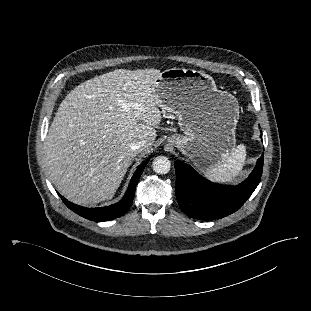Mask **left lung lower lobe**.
Masks as SVG:
<instances>
[{
    "instance_id": "left-lung-lower-lobe-1",
    "label": "left lung lower lobe",
    "mask_w": 311,
    "mask_h": 311,
    "mask_svg": "<svg viewBox=\"0 0 311 311\" xmlns=\"http://www.w3.org/2000/svg\"><path fill=\"white\" fill-rule=\"evenodd\" d=\"M263 156L249 177L237 186L212 183L190 165L175 161L176 198L183 212L195 219L213 220L237 211L258 186L263 170Z\"/></svg>"
}]
</instances>
